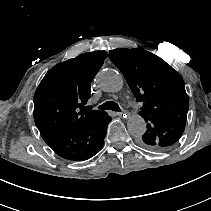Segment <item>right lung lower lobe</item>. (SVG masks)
<instances>
[{"mask_svg": "<svg viewBox=\"0 0 211 211\" xmlns=\"http://www.w3.org/2000/svg\"><path fill=\"white\" fill-rule=\"evenodd\" d=\"M110 121L111 117L103 111L85 124L61 131L44 141L64 159L86 160L102 148Z\"/></svg>", "mask_w": 211, "mask_h": 211, "instance_id": "98d812e1", "label": "right lung lower lobe"}]
</instances>
